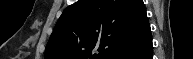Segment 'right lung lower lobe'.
I'll return each mask as SVG.
<instances>
[{"label": "right lung lower lobe", "mask_w": 193, "mask_h": 59, "mask_svg": "<svg viewBox=\"0 0 193 59\" xmlns=\"http://www.w3.org/2000/svg\"><path fill=\"white\" fill-rule=\"evenodd\" d=\"M152 37L151 32L133 46L125 49L113 59H152Z\"/></svg>", "instance_id": "right-lung-lower-lobe-1"}]
</instances>
